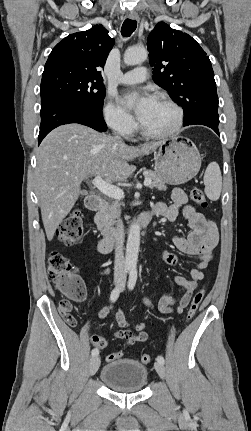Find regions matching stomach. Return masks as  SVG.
<instances>
[{
	"mask_svg": "<svg viewBox=\"0 0 251 431\" xmlns=\"http://www.w3.org/2000/svg\"><path fill=\"white\" fill-rule=\"evenodd\" d=\"M200 167V153L185 137H172L162 141L155 155V172L162 181L170 185L190 181Z\"/></svg>",
	"mask_w": 251,
	"mask_h": 431,
	"instance_id": "obj_1",
	"label": "stomach"
}]
</instances>
